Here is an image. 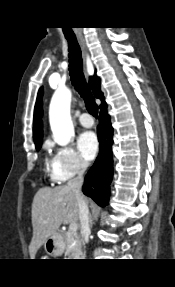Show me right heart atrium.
Segmentation results:
<instances>
[{
  "mask_svg": "<svg viewBox=\"0 0 175 287\" xmlns=\"http://www.w3.org/2000/svg\"><path fill=\"white\" fill-rule=\"evenodd\" d=\"M88 163L71 146L57 147L54 150L50 176L52 181L62 183L83 172Z\"/></svg>",
  "mask_w": 175,
  "mask_h": 287,
  "instance_id": "obj_1",
  "label": "right heart atrium"
}]
</instances>
